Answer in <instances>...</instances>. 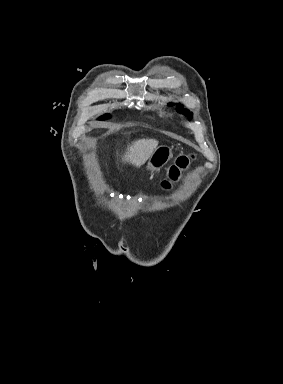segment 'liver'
Instances as JSON below:
<instances>
[{"label":"liver","mask_w":283,"mask_h":384,"mask_svg":"<svg viewBox=\"0 0 283 384\" xmlns=\"http://www.w3.org/2000/svg\"><path fill=\"white\" fill-rule=\"evenodd\" d=\"M157 146V140H137V142H133L132 146L127 148L125 158H122V160L130 162L136 168H140L149 160Z\"/></svg>","instance_id":"6515ba94"}]
</instances>
